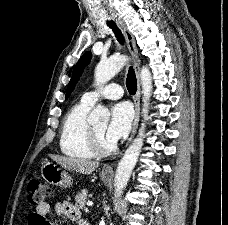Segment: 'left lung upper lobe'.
I'll return each mask as SVG.
<instances>
[{
	"instance_id": "1",
	"label": "left lung upper lobe",
	"mask_w": 228,
	"mask_h": 225,
	"mask_svg": "<svg viewBox=\"0 0 228 225\" xmlns=\"http://www.w3.org/2000/svg\"><path fill=\"white\" fill-rule=\"evenodd\" d=\"M90 58H91V52H86L78 61V63L76 64L71 80L68 84L67 87V92H66V99L69 97L70 93L72 92V90L75 87V84L77 83L83 69L84 66L87 65L90 62Z\"/></svg>"
}]
</instances>
